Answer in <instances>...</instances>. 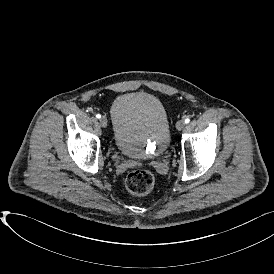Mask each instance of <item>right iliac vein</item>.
Segmentation results:
<instances>
[{"mask_svg": "<svg viewBox=\"0 0 274 274\" xmlns=\"http://www.w3.org/2000/svg\"><path fill=\"white\" fill-rule=\"evenodd\" d=\"M100 124H101L102 127H106L107 126L108 121H107V118L105 116H102L100 118Z\"/></svg>", "mask_w": 274, "mask_h": 274, "instance_id": "1", "label": "right iliac vein"}]
</instances>
